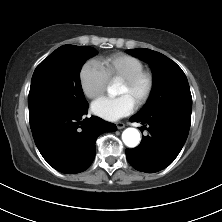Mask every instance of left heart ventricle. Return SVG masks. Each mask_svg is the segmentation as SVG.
<instances>
[{
	"label": "left heart ventricle",
	"instance_id": "1",
	"mask_svg": "<svg viewBox=\"0 0 222 222\" xmlns=\"http://www.w3.org/2000/svg\"><path fill=\"white\" fill-rule=\"evenodd\" d=\"M142 88L143 86L140 85L135 90H131L125 84L121 83L117 94L121 96L127 95L135 102L138 95L141 93Z\"/></svg>",
	"mask_w": 222,
	"mask_h": 222
}]
</instances>
